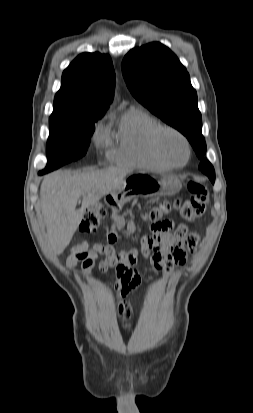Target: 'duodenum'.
I'll list each match as a JSON object with an SVG mask.
<instances>
[{
	"mask_svg": "<svg viewBox=\"0 0 253 413\" xmlns=\"http://www.w3.org/2000/svg\"><path fill=\"white\" fill-rule=\"evenodd\" d=\"M117 237H118V236H117V233L111 232L110 235H109V240H110V242H111V243L116 242Z\"/></svg>",
	"mask_w": 253,
	"mask_h": 413,
	"instance_id": "duodenum-1",
	"label": "duodenum"
}]
</instances>
